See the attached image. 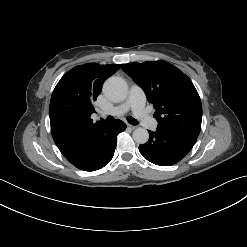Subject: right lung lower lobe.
Returning <instances> with one entry per match:
<instances>
[{
  "mask_svg": "<svg viewBox=\"0 0 247 247\" xmlns=\"http://www.w3.org/2000/svg\"><path fill=\"white\" fill-rule=\"evenodd\" d=\"M125 129L126 124L121 120L94 126L82 138L81 144L65 157L81 170L101 169L112 159L117 144V135Z\"/></svg>",
  "mask_w": 247,
  "mask_h": 247,
  "instance_id": "obj_1",
  "label": "right lung lower lobe"
}]
</instances>
